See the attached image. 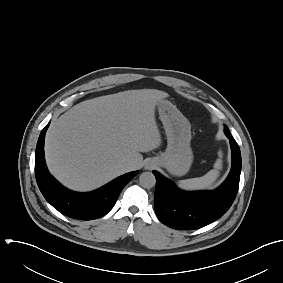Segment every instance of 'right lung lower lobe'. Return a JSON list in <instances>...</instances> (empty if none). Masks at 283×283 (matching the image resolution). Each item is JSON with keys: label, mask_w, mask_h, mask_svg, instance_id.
Returning <instances> with one entry per match:
<instances>
[{"label": "right lung lower lobe", "mask_w": 283, "mask_h": 283, "mask_svg": "<svg viewBox=\"0 0 283 283\" xmlns=\"http://www.w3.org/2000/svg\"><path fill=\"white\" fill-rule=\"evenodd\" d=\"M49 124L39 136L35 155V175L43 196L55 209L71 218L92 220L106 215L123 187L138 171L124 174L92 192L77 193L66 189L50 175L45 164L44 139Z\"/></svg>", "instance_id": "obj_1"}]
</instances>
